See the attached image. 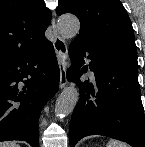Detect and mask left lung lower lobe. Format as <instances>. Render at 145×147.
Masks as SVG:
<instances>
[{
  "instance_id": "obj_1",
  "label": "left lung lower lobe",
  "mask_w": 145,
  "mask_h": 147,
  "mask_svg": "<svg viewBox=\"0 0 145 147\" xmlns=\"http://www.w3.org/2000/svg\"><path fill=\"white\" fill-rule=\"evenodd\" d=\"M72 66L67 78L80 88V99L69 127L70 146L85 136L103 135L145 147V116L138 83L136 51L122 47L92 46L75 40L69 48ZM90 60L93 82H81ZM82 67V68H81Z\"/></svg>"
}]
</instances>
